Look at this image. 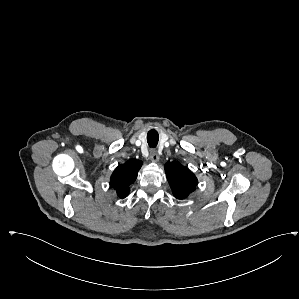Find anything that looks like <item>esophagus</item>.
<instances>
[{
	"label": "esophagus",
	"instance_id": "34e87169",
	"mask_svg": "<svg viewBox=\"0 0 299 299\" xmlns=\"http://www.w3.org/2000/svg\"><path fill=\"white\" fill-rule=\"evenodd\" d=\"M150 158L153 162H158L159 161V155L157 153V150H155V149L150 150Z\"/></svg>",
	"mask_w": 299,
	"mask_h": 299
}]
</instances>
